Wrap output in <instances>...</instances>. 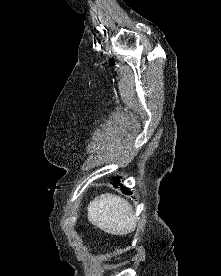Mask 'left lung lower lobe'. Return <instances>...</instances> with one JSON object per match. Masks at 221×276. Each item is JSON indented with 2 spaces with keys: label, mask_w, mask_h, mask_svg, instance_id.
Instances as JSON below:
<instances>
[{
  "label": "left lung lower lobe",
  "mask_w": 221,
  "mask_h": 276,
  "mask_svg": "<svg viewBox=\"0 0 221 276\" xmlns=\"http://www.w3.org/2000/svg\"><path fill=\"white\" fill-rule=\"evenodd\" d=\"M112 184L115 187H117L118 185H120L119 178L118 177H114ZM120 187H121V189H122V191H123L124 194H131V191L128 188H126L125 186H123L122 184L120 185Z\"/></svg>",
  "instance_id": "left-lung-lower-lobe-1"
}]
</instances>
